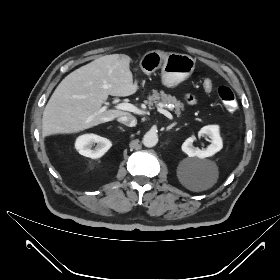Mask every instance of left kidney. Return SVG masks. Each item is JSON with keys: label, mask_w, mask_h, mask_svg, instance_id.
Segmentation results:
<instances>
[{"label": "left kidney", "mask_w": 280, "mask_h": 280, "mask_svg": "<svg viewBox=\"0 0 280 280\" xmlns=\"http://www.w3.org/2000/svg\"><path fill=\"white\" fill-rule=\"evenodd\" d=\"M199 136L206 135L211 139V144L206 149H199L193 145L194 137L187 138L182 144V151L189 157H198L200 159L210 157L220 151L223 147L222 139L217 125H208L201 128ZM203 183V182H200Z\"/></svg>", "instance_id": "obj_1"}]
</instances>
